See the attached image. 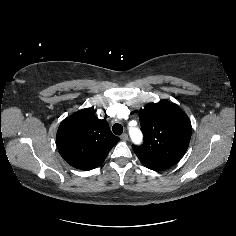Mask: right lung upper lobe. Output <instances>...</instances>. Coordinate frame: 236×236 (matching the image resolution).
<instances>
[{
    "label": "right lung upper lobe",
    "instance_id": "cb5924a9",
    "mask_svg": "<svg viewBox=\"0 0 236 236\" xmlns=\"http://www.w3.org/2000/svg\"><path fill=\"white\" fill-rule=\"evenodd\" d=\"M119 138L94 109L80 110L64 119L57 131V148L72 167L91 170L100 165Z\"/></svg>",
    "mask_w": 236,
    "mask_h": 236
}]
</instances>
